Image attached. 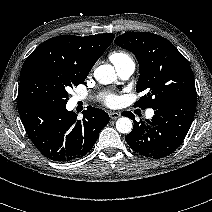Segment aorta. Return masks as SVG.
Returning <instances> with one entry per match:
<instances>
[{
  "label": "aorta",
  "instance_id": "aorta-1",
  "mask_svg": "<svg viewBox=\"0 0 212 212\" xmlns=\"http://www.w3.org/2000/svg\"><path fill=\"white\" fill-rule=\"evenodd\" d=\"M114 68L111 65H101L94 71V78L101 84H110L114 80ZM132 121L128 117H121L116 121V129L120 133H130Z\"/></svg>",
  "mask_w": 212,
  "mask_h": 212
}]
</instances>
